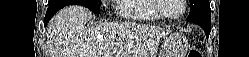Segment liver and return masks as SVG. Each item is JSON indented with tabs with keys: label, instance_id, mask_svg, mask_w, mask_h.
I'll return each mask as SVG.
<instances>
[{
	"label": "liver",
	"instance_id": "liver-1",
	"mask_svg": "<svg viewBox=\"0 0 249 57\" xmlns=\"http://www.w3.org/2000/svg\"><path fill=\"white\" fill-rule=\"evenodd\" d=\"M92 12L79 5L64 7L47 29L51 57H156L168 31L130 22H103L86 27Z\"/></svg>",
	"mask_w": 249,
	"mask_h": 57
}]
</instances>
